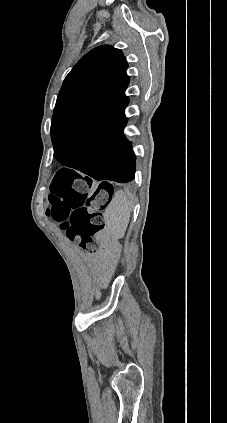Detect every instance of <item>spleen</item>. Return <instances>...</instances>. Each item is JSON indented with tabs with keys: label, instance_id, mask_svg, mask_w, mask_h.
<instances>
[{
	"label": "spleen",
	"instance_id": "1",
	"mask_svg": "<svg viewBox=\"0 0 227 423\" xmlns=\"http://www.w3.org/2000/svg\"><path fill=\"white\" fill-rule=\"evenodd\" d=\"M130 206L131 204L126 194H124L123 190H118L107 210H105L104 219L106 225L117 239L125 235L130 219Z\"/></svg>",
	"mask_w": 227,
	"mask_h": 423
}]
</instances>
